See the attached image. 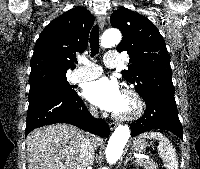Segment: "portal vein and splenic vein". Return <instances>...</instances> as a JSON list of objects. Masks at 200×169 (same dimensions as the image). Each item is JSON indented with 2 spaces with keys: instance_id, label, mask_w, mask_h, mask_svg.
<instances>
[{
  "instance_id": "18ae733b",
  "label": "portal vein and splenic vein",
  "mask_w": 200,
  "mask_h": 169,
  "mask_svg": "<svg viewBox=\"0 0 200 169\" xmlns=\"http://www.w3.org/2000/svg\"><path fill=\"white\" fill-rule=\"evenodd\" d=\"M137 159L138 160H142V159H149V157L148 156H142V155H139V156H137Z\"/></svg>"
}]
</instances>
